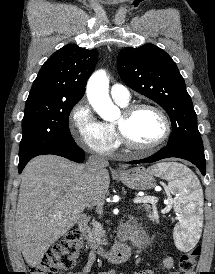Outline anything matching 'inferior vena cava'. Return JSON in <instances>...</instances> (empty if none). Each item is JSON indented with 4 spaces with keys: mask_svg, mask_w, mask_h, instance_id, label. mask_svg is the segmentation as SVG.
<instances>
[{
    "mask_svg": "<svg viewBox=\"0 0 215 274\" xmlns=\"http://www.w3.org/2000/svg\"><path fill=\"white\" fill-rule=\"evenodd\" d=\"M108 164L109 163L105 158L97 155H91L88 158L86 166L89 173L96 176L101 173L108 166ZM92 206L94 205H90L88 208H92Z\"/></svg>",
    "mask_w": 215,
    "mask_h": 274,
    "instance_id": "602c4592",
    "label": "inferior vena cava"
}]
</instances>
